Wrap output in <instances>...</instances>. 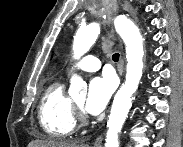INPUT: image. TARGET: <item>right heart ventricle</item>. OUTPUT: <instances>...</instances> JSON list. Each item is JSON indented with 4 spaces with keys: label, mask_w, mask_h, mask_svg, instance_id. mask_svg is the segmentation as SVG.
Masks as SVG:
<instances>
[{
    "label": "right heart ventricle",
    "mask_w": 183,
    "mask_h": 147,
    "mask_svg": "<svg viewBox=\"0 0 183 147\" xmlns=\"http://www.w3.org/2000/svg\"><path fill=\"white\" fill-rule=\"evenodd\" d=\"M39 121L51 137L64 138L75 131V108L61 82H54L45 90L39 104Z\"/></svg>",
    "instance_id": "1"
}]
</instances>
